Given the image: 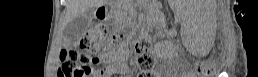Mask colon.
Wrapping results in <instances>:
<instances>
[{
	"label": "colon",
	"instance_id": "1",
	"mask_svg": "<svg viewBox=\"0 0 258 77\" xmlns=\"http://www.w3.org/2000/svg\"><path fill=\"white\" fill-rule=\"evenodd\" d=\"M108 35L106 27L97 25L86 32L78 41L76 47L65 48L60 53L61 66L58 70L59 77H96L99 70L94 67L99 62L98 58H91L90 54L99 51L103 41ZM136 63L141 71H148L154 66V56L151 42L144 37L135 40ZM215 61L205 59L198 64V73L208 75Z\"/></svg>",
	"mask_w": 258,
	"mask_h": 77
}]
</instances>
